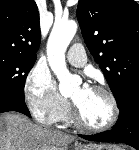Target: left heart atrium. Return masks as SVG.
Segmentation results:
<instances>
[{"mask_svg": "<svg viewBox=\"0 0 139 150\" xmlns=\"http://www.w3.org/2000/svg\"><path fill=\"white\" fill-rule=\"evenodd\" d=\"M84 89H89L88 85L83 86Z\"/></svg>", "mask_w": 139, "mask_h": 150, "instance_id": "39dd6f15", "label": "left heart atrium"}]
</instances>
